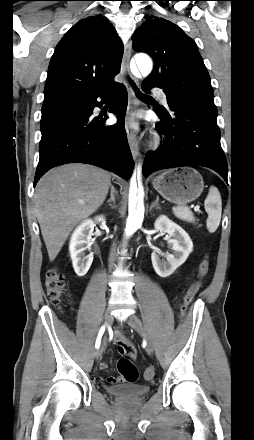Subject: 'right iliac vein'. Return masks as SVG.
Returning <instances> with one entry per match:
<instances>
[{
  "label": "right iliac vein",
  "instance_id": "right-iliac-vein-1",
  "mask_svg": "<svg viewBox=\"0 0 254 440\" xmlns=\"http://www.w3.org/2000/svg\"><path fill=\"white\" fill-rule=\"evenodd\" d=\"M105 324L110 326L113 322V316L110 311H107L104 316ZM103 354V346L99 347L95 352L96 360H100Z\"/></svg>",
  "mask_w": 254,
  "mask_h": 440
}]
</instances>
